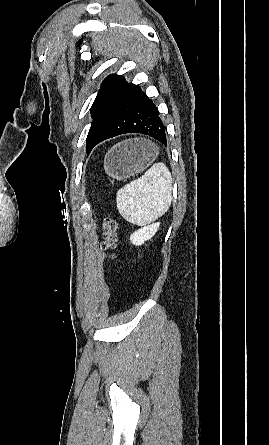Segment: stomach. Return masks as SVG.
Returning a JSON list of instances; mask_svg holds the SVG:
<instances>
[{
    "mask_svg": "<svg viewBox=\"0 0 269 445\" xmlns=\"http://www.w3.org/2000/svg\"><path fill=\"white\" fill-rule=\"evenodd\" d=\"M157 147L144 140H128L112 147L104 159L108 176L125 180L148 167L157 156Z\"/></svg>",
    "mask_w": 269,
    "mask_h": 445,
    "instance_id": "1",
    "label": "stomach"
}]
</instances>
